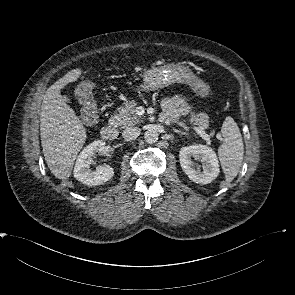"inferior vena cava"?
Listing matches in <instances>:
<instances>
[{"label":"inferior vena cava","instance_id":"602c4592","mask_svg":"<svg viewBox=\"0 0 295 295\" xmlns=\"http://www.w3.org/2000/svg\"><path fill=\"white\" fill-rule=\"evenodd\" d=\"M140 132L138 127H128L123 131L122 136L126 141H132L140 135Z\"/></svg>","mask_w":295,"mask_h":295}]
</instances>
